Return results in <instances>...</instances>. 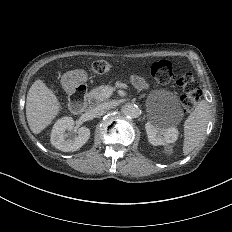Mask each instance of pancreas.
Returning a JSON list of instances; mask_svg holds the SVG:
<instances>
[{
    "label": "pancreas",
    "mask_w": 232,
    "mask_h": 232,
    "mask_svg": "<svg viewBox=\"0 0 232 232\" xmlns=\"http://www.w3.org/2000/svg\"><path fill=\"white\" fill-rule=\"evenodd\" d=\"M119 82H116V84ZM110 88L109 85H101L99 87H96L92 89L88 94V102L91 107H93L94 104H99L102 101L106 100L107 97L105 95L106 90Z\"/></svg>",
    "instance_id": "1"
}]
</instances>
